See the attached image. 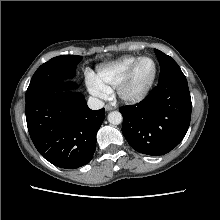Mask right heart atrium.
I'll use <instances>...</instances> for the list:
<instances>
[{"label":"right heart atrium","instance_id":"obj_1","mask_svg":"<svg viewBox=\"0 0 220 220\" xmlns=\"http://www.w3.org/2000/svg\"><path fill=\"white\" fill-rule=\"evenodd\" d=\"M87 85L89 91L98 98H105L109 93L107 88L104 87L101 83H99L97 79L93 76H88Z\"/></svg>","mask_w":220,"mask_h":220}]
</instances>
